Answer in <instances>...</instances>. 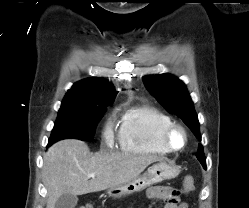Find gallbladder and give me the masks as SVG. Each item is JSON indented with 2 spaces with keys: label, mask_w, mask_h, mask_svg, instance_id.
<instances>
[{
  "label": "gallbladder",
  "mask_w": 249,
  "mask_h": 208,
  "mask_svg": "<svg viewBox=\"0 0 249 208\" xmlns=\"http://www.w3.org/2000/svg\"><path fill=\"white\" fill-rule=\"evenodd\" d=\"M78 198L71 193L63 194L55 203V208H75Z\"/></svg>",
  "instance_id": "gallbladder-1"
}]
</instances>
